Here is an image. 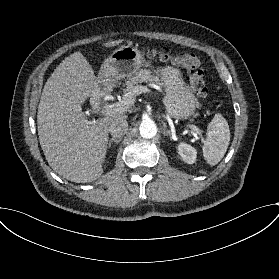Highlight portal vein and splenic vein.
I'll list each match as a JSON object with an SVG mask.
<instances>
[{
	"mask_svg": "<svg viewBox=\"0 0 279 279\" xmlns=\"http://www.w3.org/2000/svg\"><path fill=\"white\" fill-rule=\"evenodd\" d=\"M154 85L151 84V87H153ZM150 89L147 86H143V85H138L136 86L132 92L127 93L126 97L124 98L123 101L121 102H116L114 104H107L104 106L103 110L101 111L103 114L108 115V116H112L115 113H122L124 112L125 109H127L126 107H122L121 104H123L124 106L128 105V104H133L134 101L132 99V97L134 95H138L141 93H146L149 92ZM189 128L194 131L195 133H199L200 130L197 126L195 125H189Z\"/></svg>",
	"mask_w": 279,
	"mask_h": 279,
	"instance_id": "obj_1",
	"label": "portal vein and splenic vein"
}]
</instances>
